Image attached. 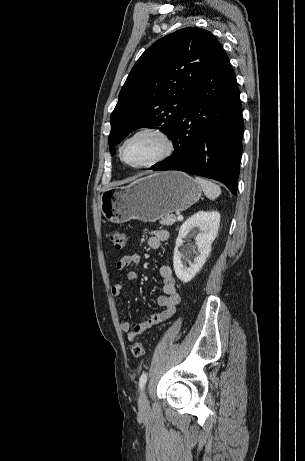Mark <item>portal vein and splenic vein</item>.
<instances>
[{"instance_id": "obj_1", "label": "portal vein and splenic vein", "mask_w": 305, "mask_h": 461, "mask_svg": "<svg viewBox=\"0 0 305 461\" xmlns=\"http://www.w3.org/2000/svg\"><path fill=\"white\" fill-rule=\"evenodd\" d=\"M177 214H178L177 219H178L179 221H182V220H183V216H182L181 214H179V213H177Z\"/></svg>"}]
</instances>
